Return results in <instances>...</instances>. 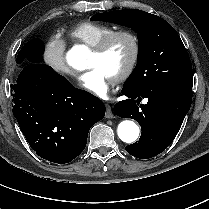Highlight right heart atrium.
Masks as SVG:
<instances>
[{"instance_id": "right-heart-atrium-1", "label": "right heart atrium", "mask_w": 209, "mask_h": 209, "mask_svg": "<svg viewBox=\"0 0 209 209\" xmlns=\"http://www.w3.org/2000/svg\"><path fill=\"white\" fill-rule=\"evenodd\" d=\"M65 51V40L58 34L51 35L45 41L43 59L57 74L72 77L75 76V71L66 62Z\"/></svg>"}]
</instances>
